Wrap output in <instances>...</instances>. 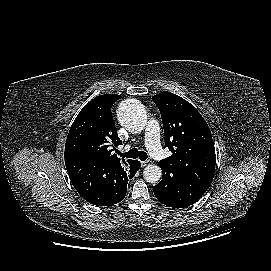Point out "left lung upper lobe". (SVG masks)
<instances>
[{
  "label": "left lung upper lobe",
  "instance_id": "5c2ea615",
  "mask_svg": "<svg viewBox=\"0 0 271 271\" xmlns=\"http://www.w3.org/2000/svg\"><path fill=\"white\" fill-rule=\"evenodd\" d=\"M152 100L161 113L165 145L172 152L159 166L180 172L209 188L215 173L216 154L206 121L194 106L171 92L159 93Z\"/></svg>",
  "mask_w": 271,
  "mask_h": 271
}]
</instances>
